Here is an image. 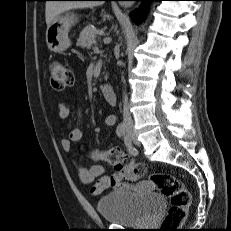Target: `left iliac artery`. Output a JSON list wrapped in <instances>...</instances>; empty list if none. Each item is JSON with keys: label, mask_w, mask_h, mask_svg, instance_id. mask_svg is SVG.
<instances>
[{"label": "left iliac artery", "mask_w": 231, "mask_h": 231, "mask_svg": "<svg viewBox=\"0 0 231 231\" xmlns=\"http://www.w3.org/2000/svg\"><path fill=\"white\" fill-rule=\"evenodd\" d=\"M124 143L129 151L130 154L132 155H136L137 154V150L133 147L132 145V140L129 134H126L124 136Z\"/></svg>", "instance_id": "left-iliac-artery-1"}]
</instances>
